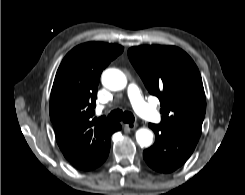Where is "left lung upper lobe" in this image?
Here are the masks:
<instances>
[{"instance_id": "left-lung-upper-lobe-1", "label": "left lung upper lobe", "mask_w": 245, "mask_h": 195, "mask_svg": "<svg viewBox=\"0 0 245 195\" xmlns=\"http://www.w3.org/2000/svg\"><path fill=\"white\" fill-rule=\"evenodd\" d=\"M134 68L150 94L159 98V125L200 137L206 99L199 70L190 56L175 46H137L128 50Z\"/></svg>"}]
</instances>
